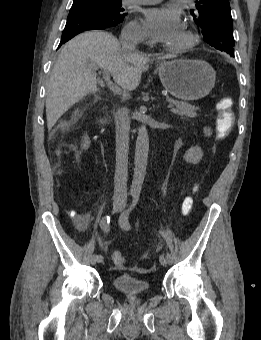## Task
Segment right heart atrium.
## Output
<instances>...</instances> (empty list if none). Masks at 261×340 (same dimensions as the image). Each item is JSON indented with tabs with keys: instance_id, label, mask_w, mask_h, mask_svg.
I'll return each mask as SVG.
<instances>
[{
	"instance_id": "d8ad5b80",
	"label": "right heart atrium",
	"mask_w": 261,
	"mask_h": 340,
	"mask_svg": "<svg viewBox=\"0 0 261 340\" xmlns=\"http://www.w3.org/2000/svg\"><path fill=\"white\" fill-rule=\"evenodd\" d=\"M123 34L127 37L138 38L140 40L146 39L145 30L137 20H133L128 23L124 28Z\"/></svg>"
}]
</instances>
